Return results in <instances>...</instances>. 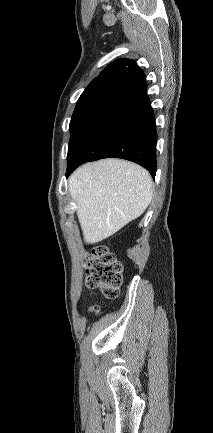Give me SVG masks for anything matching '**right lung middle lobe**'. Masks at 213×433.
I'll return each instance as SVG.
<instances>
[{"mask_svg":"<svg viewBox=\"0 0 213 433\" xmlns=\"http://www.w3.org/2000/svg\"><path fill=\"white\" fill-rule=\"evenodd\" d=\"M116 96V94H102L78 100L70 122L69 148L83 133L89 122Z\"/></svg>","mask_w":213,"mask_h":433,"instance_id":"1","label":"right lung middle lobe"}]
</instances>
